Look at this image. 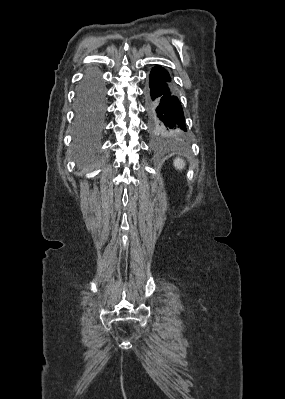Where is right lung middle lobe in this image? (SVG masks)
Returning <instances> with one entry per match:
<instances>
[{
    "label": "right lung middle lobe",
    "mask_w": 285,
    "mask_h": 399,
    "mask_svg": "<svg viewBox=\"0 0 285 399\" xmlns=\"http://www.w3.org/2000/svg\"><path fill=\"white\" fill-rule=\"evenodd\" d=\"M104 87L96 72H91L77 93V117L87 122L101 115L104 108Z\"/></svg>",
    "instance_id": "obj_1"
}]
</instances>
